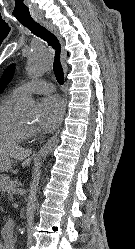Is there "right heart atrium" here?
Wrapping results in <instances>:
<instances>
[{"mask_svg":"<svg viewBox=\"0 0 135 249\" xmlns=\"http://www.w3.org/2000/svg\"><path fill=\"white\" fill-rule=\"evenodd\" d=\"M29 134H30V135H35V134H37V129L31 127V128L29 129Z\"/></svg>","mask_w":135,"mask_h":249,"instance_id":"obj_1","label":"right heart atrium"}]
</instances>
